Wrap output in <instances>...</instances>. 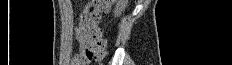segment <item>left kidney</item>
<instances>
[{
  "label": "left kidney",
  "instance_id": "5707ae66",
  "mask_svg": "<svg viewBox=\"0 0 232 65\" xmlns=\"http://www.w3.org/2000/svg\"><path fill=\"white\" fill-rule=\"evenodd\" d=\"M127 0H119L116 4V7L114 9V15L115 17H118L121 15V12L126 8L127 6Z\"/></svg>",
  "mask_w": 232,
  "mask_h": 65
}]
</instances>
